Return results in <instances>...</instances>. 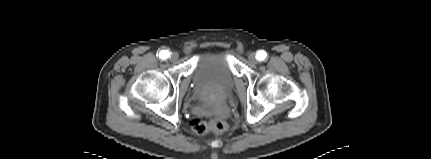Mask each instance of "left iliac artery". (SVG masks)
<instances>
[{"instance_id": "44dca946", "label": "left iliac artery", "mask_w": 431, "mask_h": 159, "mask_svg": "<svg viewBox=\"0 0 431 159\" xmlns=\"http://www.w3.org/2000/svg\"><path fill=\"white\" fill-rule=\"evenodd\" d=\"M266 56H267V53L263 50H260L257 52L256 58L258 60H264L266 58Z\"/></svg>"}]
</instances>
